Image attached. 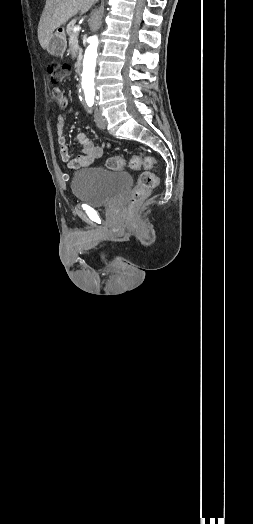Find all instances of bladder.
Listing matches in <instances>:
<instances>
[{
    "label": "bladder",
    "instance_id": "1",
    "mask_svg": "<svg viewBox=\"0 0 253 524\" xmlns=\"http://www.w3.org/2000/svg\"><path fill=\"white\" fill-rule=\"evenodd\" d=\"M131 184L127 172L89 167L74 173L71 188L75 199L90 206H104L119 198Z\"/></svg>",
    "mask_w": 253,
    "mask_h": 524
}]
</instances>
